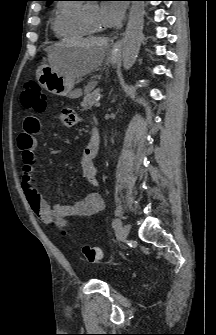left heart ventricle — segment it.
Wrapping results in <instances>:
<instances>
[{
    "mask_svg": "<svg viewBox=\"0 0 216 335\" xmlns=\"http://www.w3.org/2000/svg\"><path fill=\"white\" fill-rule=\"evenodd\" d=\"M85 11L92 25L99 29H103L99 17V7L97 5H88L85 8Z\"/></svg>",
    "mask_w": 216,
    "mask_h": 335,
    "instance_id": "left-heart-ventricle-1",
    "label": "left heart ventricle"
}]
</instances>
